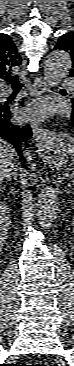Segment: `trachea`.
Segmentation results:
<instances>
[{
	"mask_svg": "<svg viewBox=\"0 0 74 366\" xmlns=\"http://www.w3.org/2000/svg\"><path fill=\"white\" fill-rule=\"evenodd\" d=\"M5 80L7 82H9L13 88H19V87H22L23 84L20 82L19 80V76L18 75H15V76H6L5 77Z\"/></svg>",
	"mask_w": 74,
	"mask_h": 366,
	"instance_id": "obj_1",
	"label": "trachea"
}]
</instances>
